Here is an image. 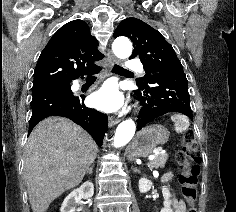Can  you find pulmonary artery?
<instances>
[{"instance_id": "e3ab8cb5", "label": "pulmonary artery", "mask_w": 236, "mask_h": 212, "mask_svg": "<svg viewBox=\"0 0 236 212\" xmlns=\"http://www.w3.org/2000/svg\"><path fill=\"white\" fill-rule=\"evenodd\" d=\"M125 67L128 68V69L136 70V71H138L140 73L144 72L143 66H142V64L139 61H135V60L127 61L125 63ZM78 86L79 85H77V87Z\"/></svg>"}]
</instances>
